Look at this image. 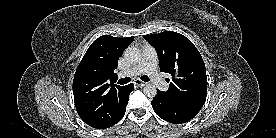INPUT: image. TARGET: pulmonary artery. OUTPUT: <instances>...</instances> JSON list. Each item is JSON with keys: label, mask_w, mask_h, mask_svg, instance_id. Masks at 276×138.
<instances>
[{"label": "pulmonary artery", "mask_w": 276, "mask_h": 138, "mask_svg": "<svg viewBox=\"0 0 276 138\" xmlns=\"http://www.w3.org/2000/svg\"><path fill=\"white\" fill-rule=\"evenodd\" d=\"M141 74L148 75L159 89L163 91L168 89V83L158 72V57L156 50L150 45L144 46L140 62L130 70L120 73V76H138Z\"/></svg>", "instance_id": "pulmonary-artery-1"}]
</instances>
